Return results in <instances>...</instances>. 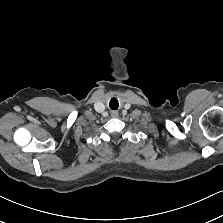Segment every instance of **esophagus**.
Masks as SVG:
<instances>
[{"label": "esophagus", "instance_id": "esophagus-1", "mask_svg": "<svg viewBox=\"0 0 223 223\" xmlns=\"http://www.w3.org/2000/svg\"><path fill=\"white\" fill-rule=\"evenodd\" d=\"M111 116H112L113 118L118 117V112H117V111H112V112H111Z\"/></svg>", "mask_w": 223, "mask_h": 223}]
</instances>
